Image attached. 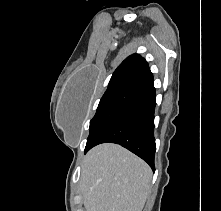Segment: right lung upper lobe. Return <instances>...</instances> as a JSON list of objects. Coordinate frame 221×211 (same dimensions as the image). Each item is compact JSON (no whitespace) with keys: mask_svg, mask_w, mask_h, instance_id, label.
I'll list each match as a JSON object with an SVG mask.
<instances>
[{"mask_svg":"<svg viewBox=\"0 0 221 211\" xmlns=\"http://www.w3.org/2000/svg\"><path fill=\"white\" fill-rule=\"evenodd\" d=\"M151 84H153V75L148 63L139 54H133L115 70L106 92L121 89L139 91Z\"/></svg>","mask_w":221,"mask_h":211,"instance_id":"cb5924a9","label":"right lung upper lobe"}]
</instances>
